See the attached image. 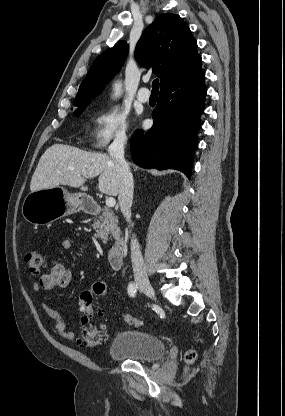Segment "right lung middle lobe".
I'll use <instances>...</instances> for the list:
<instances>
[{
  "label": "right lung middle lobe",
  "instance_id": "right-lung-middle-lobe-1",
  "mask_svg": "<svg viewBox=\"0 0 285 416\" xmlns=\"http://www.w3.org/2000/svg\"><path fill=\"white\" fill-rule=\"evenodd\" d=\"M83 110H84V107H81V108H78L76 111H75V115L76 116H79L82 112H83Z\"/></svg>",
  "mask_w": 285,
  "mask_h": 416
}]
</instances>
